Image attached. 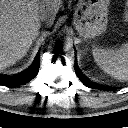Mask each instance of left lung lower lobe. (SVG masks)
Here are the masks:
<instances>
[{"label": "left lung lower lobe", "instance_id": "0a47b994", "mask_svg": "<svg viewBox=\"0 0 128 128\" xmlns=\"http://www.w3.org/2000/svg\"><path fill=\"white\" fill-rule=\"evenodd\" d=\"M75 72H76V75L78 76V78L81 80L82 83H84L86 86L90 87V88H94V89H101V90H108L107 88H104V87H100V86H97V85H94L92 83H90L86 77H84L77 69V65H76V62H75Z\"/></svg>", "mask_w": 128, "mask_h": 128}]
</instances>
